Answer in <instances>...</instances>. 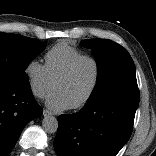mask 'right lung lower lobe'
<instances>
[{"label":"right lung lower lobe","instance_id":"obj_1","mask_svg":"<svg viewBox=\"0 0 156 156\" xmlns=\"http://www.w3.org/2000/svg\"><path fill=\"white\" fill-rule=\"evenodd\" d=\"M42 112L29 85L0 81V156L9 154L25 125Z\"/></svg>","mask_w":156,"mask_h":156}]
</instances>
